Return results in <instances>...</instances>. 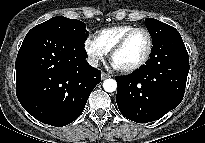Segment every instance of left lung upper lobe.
<instances>
[{"mask_svg": "<svg viewBox=\"0 0 205 143\" xmlns=\"http://www.w3.org/2000/svg\"><path fill=\"white\" fill-rule=\"evenodd\" d=\"M145 25L152 37L153 45L160 42L161 39H163L167 35L177 32L174 27L153 18H147ZM146 65H148V62L146 63Z\"/></svg>", "mask_w": 205, "mask_h": 143, "instance_id": "1", "label": "left lung upper lobe"}]
</instances>
